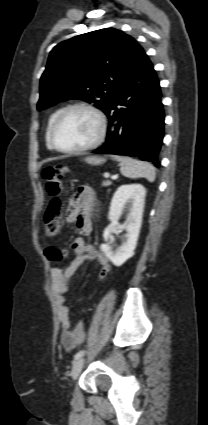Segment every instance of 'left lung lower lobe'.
<instances>
[{"label":"left lung lower lobe","instance_id":"1","mask_svg":"<svg viewBox=\"0 0 208 425\" xmlns=\"http://www.w3.org/2000/svg\"><path fill=\"white\" fill-rule=\"evenodd\" d=\"M104 112L108 117L106 142L93 153L138 157L160 167L165 115L159 80L148 57Z\"/></svg>","mask_w":208,"mask_h":425}]
</instances>
